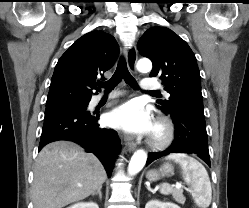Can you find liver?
Masks as SVG:
<instances>
[{
  "instance_id": "liver-1",
  "label": "liver",
  "mask_w": 249,
  "mask_h": 208,
  "mask_svg": "<svg viewBox=\"0 0 249 208\" xmlns=\"http://www.w3.org/2000/svg\"><path fill=\"white\" fill-rule=\"evenodd\" d=\"M107 178L101 162L70 141H55L39 153L34 167V208H63L95 193Z\"/></svg>"
}]
</instances>
